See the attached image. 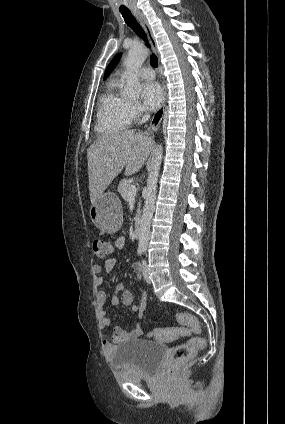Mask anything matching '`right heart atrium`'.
<instances>
[{"label": "right heart atrium", "mask_w": 285, "mask_h": 424, "mask_svg": "<svg viewBox=\"0 0 285 424\" xmlns=\"http://www.w3.org/2000/svg\"><path fill=\"white\" fill-rule=\"evenodd\" d=\"M128 111L130 120H134L142 114L143 109L139 103L130 102Z\"/></svg>", "instance_id": "obj_1"}]
</instances>
